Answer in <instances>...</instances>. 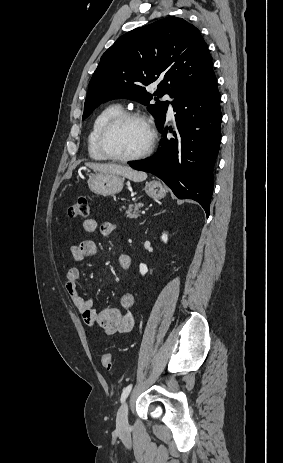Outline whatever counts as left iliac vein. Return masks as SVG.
Returning a JSON list of instances; mask_svg holds the SVG:
<instances>
[{
	"mask_svg": "<svg viewBox=\"0 0 283 463\" xmlns=\"http://www.w3.org/2000/svg\"><path fill=\"white\" fill-rule=\"evenodd\" d=\"M128 403L123 402L117 413V429L124 431L128 428Z\"/></svg>",
	"mask_w": 283,
	"mask_h": 463,
	"instance_id": "4c4485c4",
	"label": "left iliac vein"
}]
</instances>
